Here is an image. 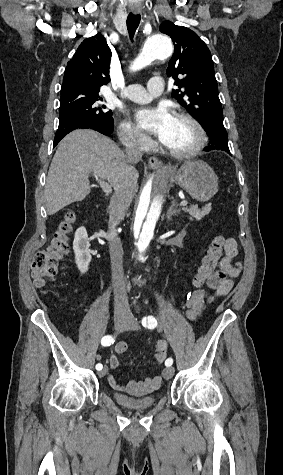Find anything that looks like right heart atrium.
Segmentation results:
<instances>
[{"mask_svg": "<svg viewBox=\"0 0 283 475\" xmlns=\"http://www.w3.org/2000/svg\"><path fill=\"white\" fill-rule=\"evenodd\" d=\"M116 132L125 152L143 155L150 151L151 139L139 132L128 119H122L118 122Z\"/></svg>", "mask_w": 283, "mask_h": 475, "instance_id": "1", "label": "right heart atrium"}]
</instances>
